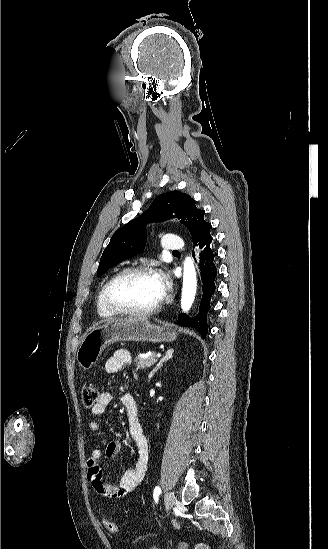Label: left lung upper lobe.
Wrapping results in <instances>:
<instances>
[{
	"instance_id": "obj_1",
	"label": "left lung upper lobe",
	"mask_w": 328,
	"mask_h": 549,
	"mask_svg": "<svg viewBox=\"0 0 328 549\" xmlns=\"http://www.w3.org/2000/svg\"><path fill=\"white\" fill-rule=\"evenodd\" d=\"M204 213V210L196 207L193 198L180 191L158 196L148 211L129 221L113 234L101 256L97 276L103 275L119 262L144 249L145 227L149 222H162L175 215L189 230L194 244L210 236L211 224L204 220Z\"/></svg>"
}]
</instances>
